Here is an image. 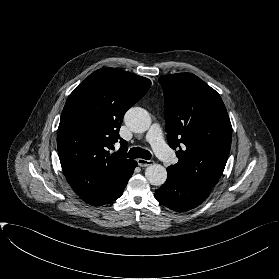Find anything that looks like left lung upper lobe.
I'll use <instances>...</instances> for the list:
<instances>
[{
    "mask_svg": "<svg viewBox=\"0 0 279 279\" xmlns=\"http://www.w3.org/2000/svg\"><path fill=\"white\" fill-rule=\"evenodd\" d=\"M165 97L168 142L179 161L168 167L181 179L211 190L222 175L232 126L220 95L191 73L159 78Z\"/></svg>",
    "mask_w": 279,
    "mask_h": 279,
    "instance_id": "5c2ea615",
    "label": "left lung upper lobe"
}]
</instances>
